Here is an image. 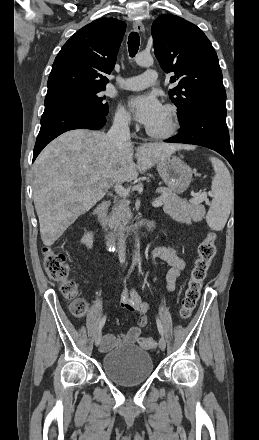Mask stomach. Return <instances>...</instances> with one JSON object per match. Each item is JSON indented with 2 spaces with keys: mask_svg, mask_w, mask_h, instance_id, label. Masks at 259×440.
Here are the masks:
<instances>
[{
  "mask_svg": "<svg viewBox=\"0 0 259 440\" xmlns=\"http://www.w3.org/2000/svg\"><path fill=\"white\" fill-rule=\"evenodd\" d=\"M159 175L175 194L187 190L192 180V169L176 156H169L156 162Z\"/></svg>",
  "mask_w": 259,
  "mask_h": 440,
  "instance_id": "0dacf381",
  "label": "stomach"
}]
</instances>
